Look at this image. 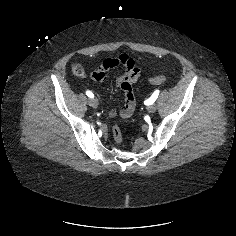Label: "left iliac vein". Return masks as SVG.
Wrapping results in <instances>:
<instances>
[{
    "instance_id": "4c4485c4",
    "label": "left iliac vein",
    "mask_w": 236,
    "mask_h": 236,
    "mask_svg": "<svg viewBox=\"0 0 236 236\" xmlns=\"http://www.w3.org/2000/svg\"><path fill=\"white\" fill-rule=\"evenodd\" d=\"M156 110H157L156 104H150V105H148V107H147V111H148L149 113H154Z\"/></svg>"
}]
</instances>
